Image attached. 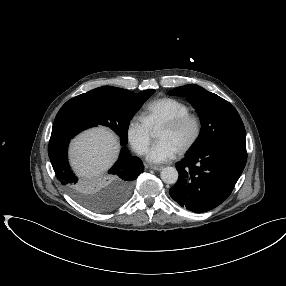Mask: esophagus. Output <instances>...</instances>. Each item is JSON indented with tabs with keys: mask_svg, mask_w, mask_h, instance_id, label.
I'll return each instance as SVG.
<instances>
[{
	"mask_svg": "<svg viewBox=\"0 0 286 286\" xmlns=\"http://www.w3.org/2000/svg\"><path fill=\"white\" fill-rule=\"evenodd\" d=\"M150 169H153V170H156V171H160L163 169V166H154V165H151L149 166Z\"/></svg>",
	"mask_w": 286,
	"mask_h": 286,
	"instance_id": "esophagus-1",
	"label": "esophagus"
}]
</instances>
